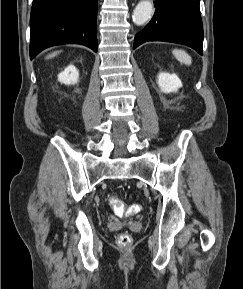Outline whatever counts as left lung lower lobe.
<instances>
[{
	"instance_id": "obj_1",
	"label": "left lung lower lobe",
	"mask_w": 243,
	"mask_h": 289,
	"mask_svg": "<svg viewBox=\"0 0 243 289\" xmlns=\"http://www.w3.org/2000/svg\"><path fill=\"white\" fill-rule=\"evenodd\" d=\"M152 20L136 34L133 49L146 41L184 44L203 55L199 0H155Z\"/></svg>"
}]
</instances>
